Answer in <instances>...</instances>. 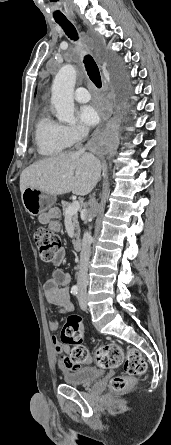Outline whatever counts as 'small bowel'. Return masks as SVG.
<instances>
[{
  "instance_id": "small-bowel-1",
  "label": "small bowel",
  "mask_w": 171,
  "mask_h": 445,
  "mask_svg": "<svg viewBox=\"0 0 171 445\" xmlns=\"http://www.w3.org/2000/svg\"><path fill=\"white\" fill-rule=\"evenodd\" d=\"M48 226L53 232H58L60 230V225L58 222L52 221L48 224ZM65 257V250L60 248L55 260L53 261L54 265H61L65 260ZM69 283L70 274L59 269L55 270L52 273V276L44 283L43 289L46 301L51 305L57 306L61 313H67L73 310V304L70 300L68 290ZM58 327L59 323L57 320H53L48 323V328L52 332H56ZM51 342L60 355V364L63 368L75 370L82 367L81 363L77 364L69 360V346L61 344L57 336L53 335L51 337Z\"/></svg>"
}]
</instances>
